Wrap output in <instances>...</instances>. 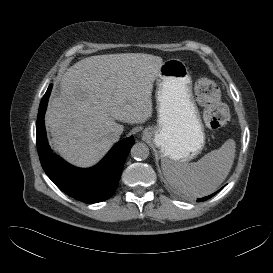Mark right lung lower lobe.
Listing matches in <instances>:
<instances>
[{"label": "right lung lower lobe", "mask_w": 273, "mask_h": 273, "mask_svg": "<svg viewBox=\"0 0 273 273\" xmlns=\"http://www.w3.org/2000/svg\"><path fill=\"white\" fill-rule=\"evenodd\" d=\"M51 90L52 84L41 100L36 123L37 149L41 165L51 181L68 196L84 203L102 202L115 192L134 138L131 136L117 143L93 168L80 169L68 164L52 152L46 138L44 115Z\"/></svg>", "instance_id": "obj_1"}]
</instances>
